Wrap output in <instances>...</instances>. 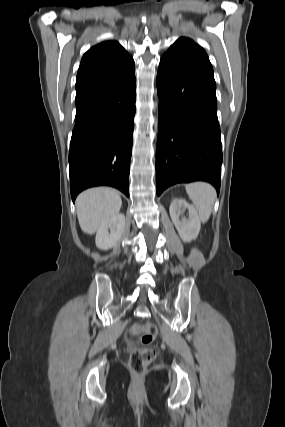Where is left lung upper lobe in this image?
Listing matches in <instances>:
<instances>
[{
  "label": "left lung upper lobe",
  "instance_id": "1",
  "mask_svg": "<svg viewBox=\"0 0 285 427\" xmlns=\"http://www.w3.org/2000/svg\"><path fill=\"white\" fill-rule=\"evenodd\" d=\"M163 57L215 83L213 68L206 52L189 38H179Z\"/></svg>",
  "mask_w": 285,
  "mask_h": 427
}]
</instances>
